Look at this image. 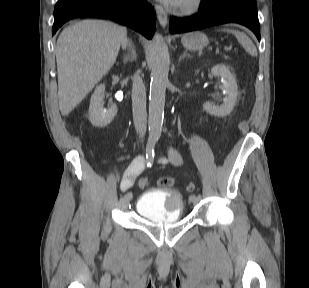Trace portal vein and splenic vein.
<instances>
[{
	"instance_id": "portal-vein-and-splenic-vein-1",
	"label": "portal vein and splenic vein",
	"mask_w": 309,
	"mask_h": 288,
	"mask_svg": "<svg viewBox=\"0 0 309 288\" xmlns=\"http://www.w3.org/2000/svg\"><path fill=\"white\" fill-rule=\"evenodd\" d=\"M231 49V47H225V51H230Z\"/></svg>"
}]
</instances>
